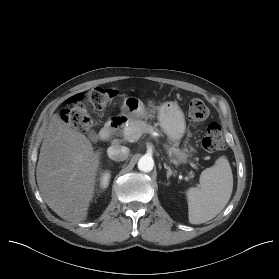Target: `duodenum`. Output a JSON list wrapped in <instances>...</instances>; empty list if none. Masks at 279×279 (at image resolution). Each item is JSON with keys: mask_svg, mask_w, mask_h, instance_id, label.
I'll use <instances>...</instances> for the list:
<instances>
[{"mask_svg": "<svg viewBox=\"0 0 279 279\" xmlns=\"http://www.w3.org/2000/svg\"><path fill=\"white\" fill-rule=\"evenodd\" d=\"M122 125V119L120 118H114L110 120L100 131L99 138L101 140H107L109 139L114 132L120 128Z\"/></svg>", "mask_w": 279, "mask_h": 279, "instance_id": "duodenum-1", "label": "duodenum"}]
</instances>
